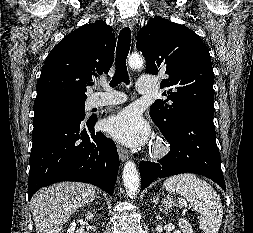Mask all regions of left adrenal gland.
<instances>
[{
    "label": "left adrenal gland",
    "instance_id": "a2214340",
    "mask_svg": "<svg viewBox=\"0 0 253 233\" xmlns=\"http://www.w3.org/2000/svg\"><path fill=\"white\" fill-rule=\"evenodd\" d=\"M153 202H154V205H155V206L158 205V202H159V195H158V194H157V196L154 198Z\"/></svg>",
    "mask_w": 253,
    "mask_h": 233
}]
</instances>
